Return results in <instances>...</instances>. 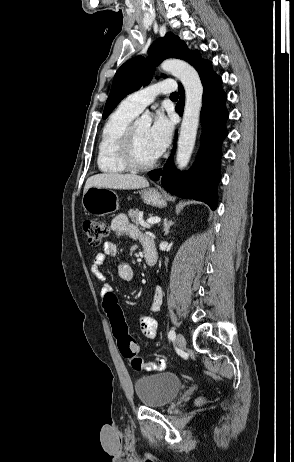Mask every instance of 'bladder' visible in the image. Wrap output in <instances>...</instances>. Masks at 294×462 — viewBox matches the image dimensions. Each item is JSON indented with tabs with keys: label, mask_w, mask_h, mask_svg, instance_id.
I'll use <instances>...</instances> for the list:
<instances>
[{
	"label": "bladder",
	"mask_w": 294,
	"mask_h": 462,
	"mask_svg": "<svg viewBox=\"0 0 294 462\" xmlns=\"http://www.w3.org/2000/svg\"><path fill=\"white\" fill-rule=\"evenodd\" d=\"M183 388V380L168 372L140 377L134 382L139 401L147 407L160 408L171 404Z\"/></svg>",
	"instance_id": "1"
}]
</instances>
